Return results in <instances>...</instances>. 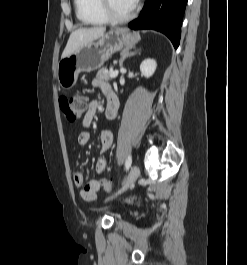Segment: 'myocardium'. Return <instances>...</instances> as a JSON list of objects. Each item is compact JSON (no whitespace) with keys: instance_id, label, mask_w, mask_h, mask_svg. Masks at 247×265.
I'll list each match as a JSON object with an SVG mask.
<instances>
[{"instance_id":"obj_1","label":"myocardium","mask_w":247,"mask_h":265,"mask_svg":"<svg viewBox=\"0 0 247 265\" xmlns=\"http://www.w3.org/2000/svg\"><path fill=\"white\" fill-rule=\"evenodd\" d=\"M100 8L108 21L112 23H126L134 18L136 14L137 5H134L132 10L125 15H119L115 13L109 4L108 0H100Z\"/></svg>"}]
</instances>
